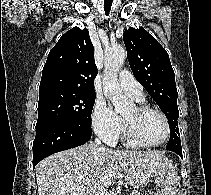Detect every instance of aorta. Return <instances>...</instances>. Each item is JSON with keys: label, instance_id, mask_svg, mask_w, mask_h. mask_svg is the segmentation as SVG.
Returning <instances> with one entry per match:
<instances>
[{"label": "aorta", "instance_id": "762f6f07", "mask_svg": "<svg viewBox=\"0 0 211 195\" xmlns=\"http://www.w3.org/2000/svg\"><path fill=\"white\" fill-rule=\"evenodd\" d=\"M125 58L126 50L120 45L114 46L105 52L103 91L105 96L111 100L116 112H122L133 106V102L123 94L117 79L118 71L122 67Z\"/></svg>", "mask_w": 211, "mask_h": 195}]
</instances>
